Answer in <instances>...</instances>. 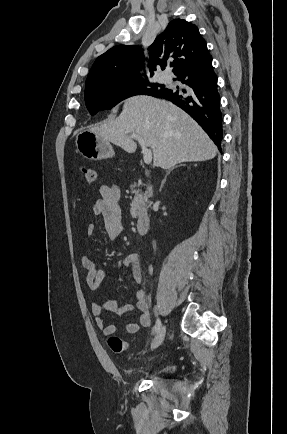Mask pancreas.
<instances>
[{"label":"pancreas","instance_id":"pancreas-1","mask_svg":"<svg viewBox=\"0 0 287 434\" xmlns=\"http://www.w3.org/2000/svg\"><path fill=\"white\" fill-rule=\"evenodd\" d=\"M141 184V182H139ZM136 184L131 185L133 193L135 194L134 199L131 202L130 213L133 218H136L147 211L148 197L146 193H142L140 190H135Z\"/></svg>","mask_w":287,"mask_h":434}]
</instances>
